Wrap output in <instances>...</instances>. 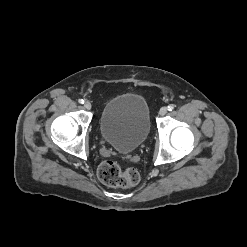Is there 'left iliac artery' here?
<instances>
[{
	"label": "left iliac artery",
	"mask_w": 247,
	"mask_h": 247,
	"mask_svg": "<svg viewBox=\"0 0 247 247\" xmlns=\"http://www.w3.org/2000/svg\"><path fill=\"white\" fill-rule=\"evenodd\" d=\"M173 109H174V105H169V106H168V110H169V111H172Z\"/></svg>",
	"instance_id": "1"
}]
</instances>
